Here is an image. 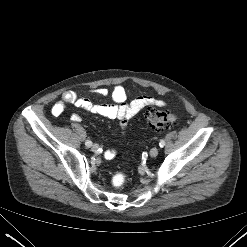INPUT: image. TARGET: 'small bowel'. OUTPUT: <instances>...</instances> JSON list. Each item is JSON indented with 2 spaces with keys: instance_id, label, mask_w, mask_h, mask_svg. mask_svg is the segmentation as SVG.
<instances>
[{
  "instance_id": "obj_1",
  "label": "small bowel",
  "mask_w": 247,
  "mask_h": 247,
  "mask_svg": "<svg viewBox=\"0 0 247 247\" xmlns=\"http://www.w3.org/2000/svg\"><path fill=\"white\" fill-rule=\"evenodd\" d=\"M95 93L102 97L110 96L112 103L110 104H95L87 97L82 96L74 91L64 92L59 102H57L53 108L52 113L54 115H60L67 104H73L79 108H82L92 114L100 115L109 119H117L120 122L122 128H124L131 118L140 113L143 109L150 105L164 106L165 102L160 99H155L148 95H142L131 102L127 103V93L122 85H116L112 91L101 88L95 91ZM81 116L79 114H72L71 120L74 122H80ZM116 154L114 149L105 151L104 157L107 160L112 159Z\"/></svg>"
}]
</instances>
